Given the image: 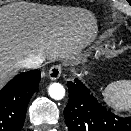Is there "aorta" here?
<instances>
[{
    "instance_id": "762f6f07",
    "label": "aorta",
    "mask_w": 131,
    "mask_h": 131,
    "mask_svg": "<svg viewBox=\"0 0 131 131\" xmlns=\"http://www.w3.org/2000/svg\"><path fill=\"white\" fill-rule=\"evenodd\" d=\"M48 93L51 98L61 100L65 96V89L60 83H53L49 86Z\"/></svg>"
}]
</instances>
